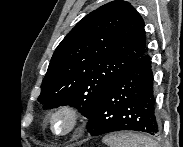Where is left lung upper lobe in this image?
Listing matches in <instances>:
<instances>
[{
  "mask_svg": "<svg viewBox=\"0 0 183 147\" xmlns=\"http://www.w3.org/2000/svg\"><path fill=\"white\" fill-rule=\"evenodd\" d=\"M144 21L126 1L86 15L56 48L38 101L70 105L89 118L114 80L146 52Z\"/></svg>",
  "mask_w": 183,
  "mask_h": 147,
  "instance_id": "left-lung-upper-lobe-1",
  "label": "left lung upper lobe"
}]
</instances>
